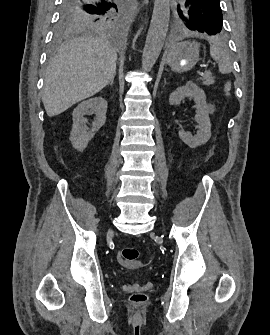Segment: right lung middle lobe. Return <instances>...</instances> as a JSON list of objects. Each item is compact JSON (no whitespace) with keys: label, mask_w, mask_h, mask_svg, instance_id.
<instances>
[{"label":"right lung middle lobe","mask_w":270,"mask_h":335,"mask_svg":"<svg viewBox=\"0 0 270 335\" xmlns=\"http://www.w3.org/2000/svg\"><path fill=\"white\" fill-rule=\"evenodd\" d=\"M56 41L76 31L116 29L125 19V0H62Z\"/></svg>","instance_id":"dd1d6c3e"}]
</instances>
